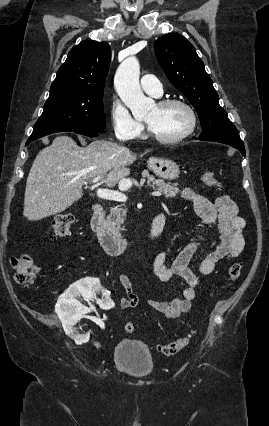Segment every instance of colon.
I'll return each instance as SVG.
<instances>
[{"mask_svg":"<svg viewBox=\"0 0 269 426\" xmlns=\"http://www.w3.org/2000/svg\"><path fill=\"white\" fill-rule=\"evenodd\" d=\"M203 182L212 188H220L221 184L211 171L202 173ZM74 224V215L72 213H60L53 219L49 230L50 237L53 239L67 236ZM11 267L14 270V279L19 284H29L39 273V267L30 255L14 256L10 260ZM242 266L240 263L231 265L228 271V282H235L241 275ZM124 329L128 333L135 331L133 322H126ZM191 342V336L179 338L178 340L159 345L160 352L165 356L177 354L180 350L187 347Z\"/></svg>","mask_w":269,"mask_h":426,"instance_id":"obj_1","label":"colon"}]
</instances>
